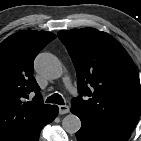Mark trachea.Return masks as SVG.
<instances>
[{
    "label": "trachea",
    "instance_id": "trachea-1",
    "mask_svg": "<svg viewBox=\"0 0 141 141\" xmlns=\"http://www.w3.org/2000/svg\"><path fill=\"white\" fill-rule=\"evenodd\" d=\"M46 102L47 103H56V104H59V105H64V100H63L62 96L59 95L58 93L49 96L46 99Z\"/></svg>",
    "mask_w": 141,
    "mask_h": 141
}]
</instances>
